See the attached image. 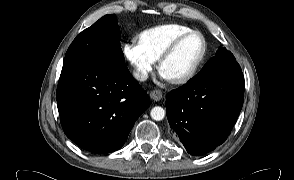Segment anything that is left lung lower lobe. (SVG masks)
<instances>
[{
    "label": "left lung lower lobe",
    "instance_id": "left-lung-lower-lobe-1",
    "mask_svg": "<svg viewBox=\"0 0 294 180\" xmlns=\"http://www.w3.org/2000/svg\"><path fill=\"white\" fill-rule=\"evenodd\" d=\"M244 101L242 72L192 81L167 94L170 134L191 155L221 145L237 121Z\"/></svg>",
    "mask_w": 294,
    "mask_h": 180
}]
</instances>
